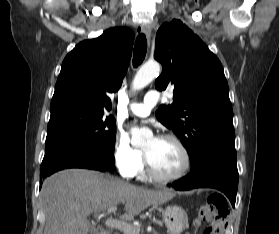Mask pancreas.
<instances>
[{"instance_id": "1", "label": "pancreas", "mask_w": 279, "mask_h": 234, "mask_svg": "<svg viewBox=\"0 0 279 234\" xmlns=\"http://www.w3.org/2000/svg\"><path fill=\"white\" fill-rule=\"evenodd\" d=\"M125 234H139V230L136 227H134V231H131V232H128Z\"/></svg>"}]
</instances>
